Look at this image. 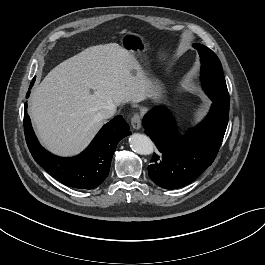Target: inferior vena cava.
<instances>
[{
	"label": "inferior vena cava",
	"mask_w": 265,
	"mask_h": 265,
	"mask_svg": "<svg viewBox=\"0 0 265 265\" xmlns=\"http://www.w3.org/2000/svg\"><path fill=\"white\" fill-rule=\"evenodd\" d=\"M115 112H116V106L111 104L108 105L105 109L101 110L98 113V117L100 119H109L115 114Z\"/></svg>",
	"instance_id": "inferior-vena-cava-1"
}]
</instances>
